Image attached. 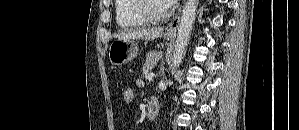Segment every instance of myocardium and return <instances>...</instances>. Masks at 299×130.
I'll list each match as a JSON object with an SVG mask.
<instances>
[{
    "instance_id": "myocardium-1",
    "label": "myocardium",
    "mask_w": 299,
    "mask_h": 130,
    "mask_svg": "<svg viewBox=\"0 0 299 130\" xmlns=\"http://www.w3.org/2000/svg\"><path fill=\"white\" fill-rule=\"evenodd\" d=\"M160 0H138L137 10L139 14L149 22L162 21L169 17L171 13L170 6L166 5L164 12H156L153 10L152 3Z\"/></svg>"
}]
</instances>
